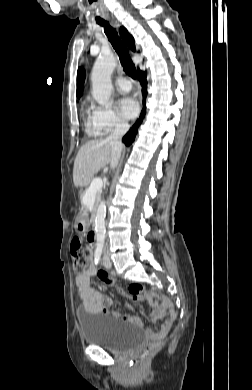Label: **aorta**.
Returning a JSON list of instances; mask_svg holds the SVG:
<instances>
[{"label": "aorta", "mask_w": 252, "mask_h": 390, "mask_svg": "<svg viewBox=\"0 0 252 390\" xmlns=\"http://www.w3.org/2000/svg\"><path fill=\"white\" fill-rule=\"evenodd\" d=\"M117 65L113 55H102L97 58L91 74L92 95L98 104L109 107L112 92L111 75ZM106 202L102 200L98 206L95 230L98 243H104L106 235L105 227Z\"/></svg>", "instance_id": "aorta-1"}]
</instances>
